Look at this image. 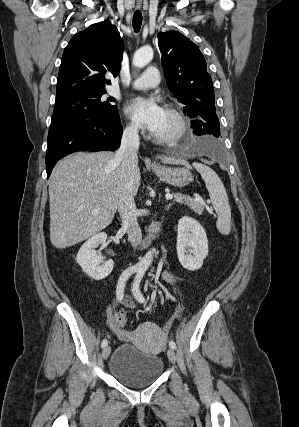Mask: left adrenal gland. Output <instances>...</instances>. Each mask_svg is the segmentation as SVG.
<instances>
[{
	"label": "left adrenal gland",
	"instance_id": "1",
	"mask_svg": "<svg viewBox=\"0 0 299 427\" xmlns=\"http://www.w3.org/2000/svg\"><path fill=\"white\" fill-rule=\"evenodd\" d=\"M171 205H172V204L167 205L166 210H169V208H170V206H171Z\"/></svg>",
	"mask_w": 299,
	"mask_h": 427
}]
</instances>
